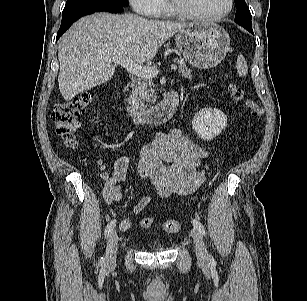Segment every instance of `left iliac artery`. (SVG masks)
Masks as SVG:
<instances>
[{
    "label": "left iliac artery",
    "mask_w": 307,
    "mask_h": 301,
    "mask_svg": "<svg viewBox=\"0 0 307 301\" xmlns=\"http://www.w3.org/2000/svg\"><path fill=\"white\" fill-rule=\"evenodd\" d=\"M192 224L200 232V234H202L204 236L206 235L205 227L203 226V224L199 220L193 219ZM210 263L211 264L216 263L215 259L213 257L210 258Z\"/></svg>",
    "instance_id": "left-iliac-artery-1"
}]
</instances>
